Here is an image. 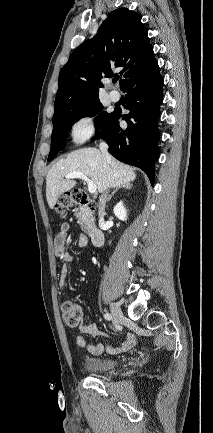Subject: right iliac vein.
Listing matches in <instances>:
<instances>
[{"instance_id":"right-iliac-vein-1","label":"right iliac vein","mask_w":213,"mask_h":433,"mask_svg":"<svg viewBox=\"0 0 213 433\" xmlns=\"http://www.w3.org/2000/svg\"><path fill=\"white\" fill-rule=\"evenodd\" d=\"M110 310H111V314H112L114 322L116 324H119L124 318L121 308L118 306V304L111 303Z\"/></svg>"}]
</instances>
